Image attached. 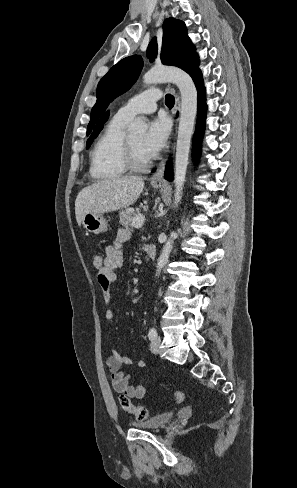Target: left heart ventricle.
I'll return each instance as SVG.
<instances>
[{
	"label": "left heart ventricle",
	"instance_id": "b2bd125f",
	"mask_svg": "<svg viewBox=\"0 0 297 488\" xmlns=\"http://www.w3.org/2000/svg\"><path fill=\"white\" fill-rule=\"evenodd\" d=\"M144 136H145L144 134H138V135L129 137L130 141L134 147L136 157L140 161H145V160L149 159V157L145 154V152L143 151V148H142V142H143Z\"/></svg>",
	"mask_w": 297,
	"mask_h": 488
}]
</instances>
